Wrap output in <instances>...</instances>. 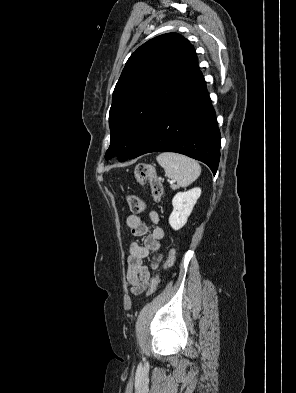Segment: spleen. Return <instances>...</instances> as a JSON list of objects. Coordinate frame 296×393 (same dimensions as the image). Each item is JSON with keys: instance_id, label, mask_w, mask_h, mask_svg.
Segmentation results:
<instances>
[{"instance_id": "obj_1", "label": "spleen", "mask_w": 296, "mask_h": 393, "mask_svg": "<svg viewBox=\"0 0 296 393\" xmlns=\"http://www.w3.org/2000/svg\"><path fill=\"white\" fill-rule=\"evenodd\" d=\"M156 160L164 169L166 176L175 180L180 187L190 185L201 174L199 163L184 155L165 152L159 154Z\"/></svg>"}]
</instances>
